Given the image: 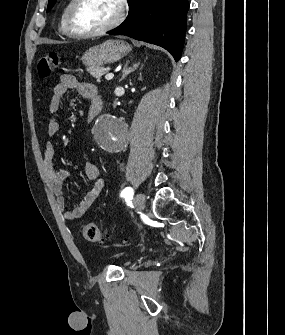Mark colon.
<instances>
[{
    "label": "colon",
    "mask_w": 285,
    "mask_h": 335,
    "mask_svg": "<svg viewBox=\"0 0 285 335\" xmlns=\"http://www.w3.org/2000/svg\"><path fill=\"white\" fill-rule=\"evenodd\" d=\"M60 55L57 52H49L43 55L38 63V73L41 78H48L60 65ZM83 236L91 242H99L104 239L100 227L95 223H86L82 228Z\"/></svg>",
    "instance_id": "1"
}]
</instances>
